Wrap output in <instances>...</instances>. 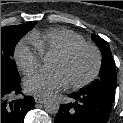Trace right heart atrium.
<instances>
[{
	"instance_id": "1",
	"label": "right heart atrium",
	"mask_w": 123,
	"mask_h": 123,
	"mask_svg": "<svg viewBox=\"0 0 123 123\" xmlns=\"http://www.w3.org/2000/svg\"><path fill=\"white\" fill-rule=\"evenodd\" d=\"M42 55L40 49L29 37L22 39L14 51L16 64L25 74L32 72L40 65Z\"/></svg>"
}]
</instances>
